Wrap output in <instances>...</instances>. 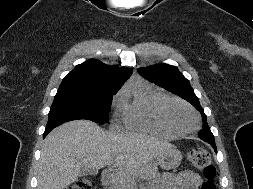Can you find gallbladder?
Listing matches in <instances>:
<instances>
[{
    "label": "gallbladder",
    "mask_w": 253,
    "mask_h": 189,
    "mask_svg": "<svg viewBox=\"0 0 253 189\" xmlns=\"http://www.w3.org/2000/svg\"><path fill=\"white\" fill-rule=\"evenodd\" d=\"M97 170L91 169L88 167H82L80 170V176H85V175H96Z\"/></svg>",
    "instance_id": "1"
}]
</instances>
